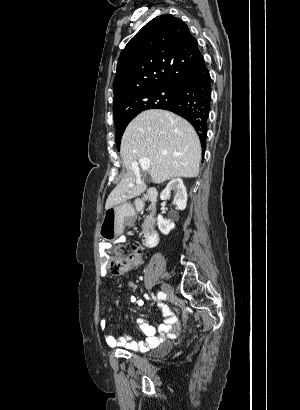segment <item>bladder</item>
Returning a JSON list of instances; mask_svg holds the SVG:
<instances>
[{"label":"bladder","mask_w":300,"mask_h":410,"mask_svg":"<svg viewBox=\"0 0 300 410\" xmlns=\"http://www.w3.org/2000/svg\"><path fill=\"white\" fill-rule=\"evenodd\" d=\"M173 349V344L170 341H165L159 345L156 349L158 351V355L165 356L169 354Z\"/></svg>","instance_id":"31cf9c89"}]
</instances>
